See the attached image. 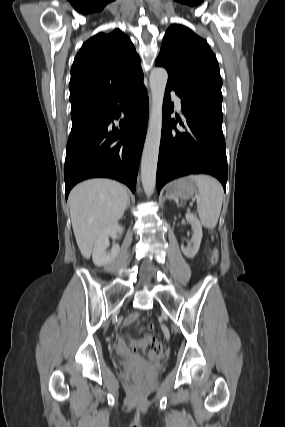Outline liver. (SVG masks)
Here are the masks:
<instances>
[{"label":"liver","instance_id":"6515ba94","mask_svg":"<svg viewBox=\"0 0 285 427\" xmlns=\"http://www.w3.org/2000/svg\"><path fill=\"white\" fill-rule=\"evenodd\" d=\"M128 198L126 188L109 179L87 180L71 190L72 228L84 258H90L97 236L123 216Z\"/></svg>","mask_w":285,"mask_h":427}]
</instances>
